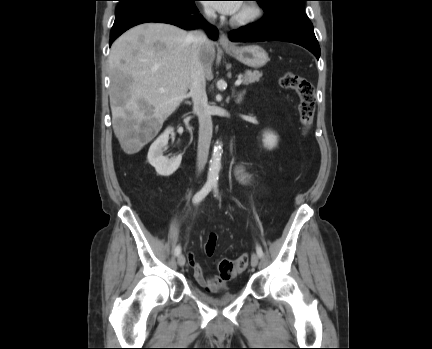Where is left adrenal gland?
<instances>
[{
	"label": "left adrenal gland",
	"instance_id": "left-adrenal-gland-1",
	"mask_svg": "<svg viewBox=\"0 0 432 349\" xmlns=\"http://www.w3.org/2000/svg\"><path fill=\"white\" fill-rule=\"evenodd\" d=\"M245 93H246V91L243 90V91H241V92H239V93L237 94V98H236V103H237V104H240V103L242 102Z\"/></svg>",
	"mask_w": 432,
	"mask_h": 349
}]
</instances>
